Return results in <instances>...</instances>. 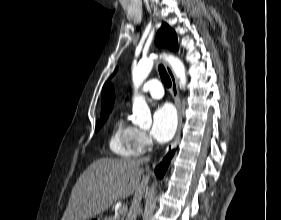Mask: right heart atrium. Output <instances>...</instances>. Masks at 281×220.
Here are the masks:
<instances>
[{"label":"right heart atrium","mask_w":281,"mask_h":220,"mask_svg":"<svg viewBox=\"0 0 281 220\" xmlns=\"http://www.w3.org/2000/svg\"><path fill=\"white\" fill-rule=\"evenodd\" d=\"M137 141L141 151L149 149L152 146V140L148 134L142 130H138Z\"/></svg>","instance_id":"obj_1"}]
</instances>
